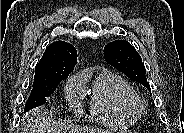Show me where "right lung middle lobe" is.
Returning <instances> with one entry per match:
<instances>
[{"mask_svg":"<svg viewBox=\"0 0 184 133\" xmlns=\"http://www.w3.org/2000/svg\"><path fill=\"white\" fill-rule=\"evenodd\" d=\"M63 79L56 78L47 85L44 86H33L31 94L25 104L24 112L29 111L34 107L41 106L46 103V97L53 94L56 90L58 84Z\"/></svg>","mask_w":184,"mask_h":133,"instance_id":"dd1d6c3e","label":"right lung middle lobe"}]
</instances>
